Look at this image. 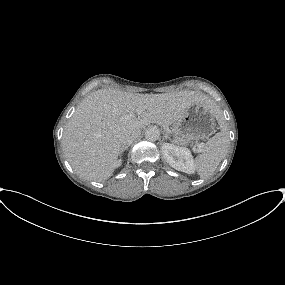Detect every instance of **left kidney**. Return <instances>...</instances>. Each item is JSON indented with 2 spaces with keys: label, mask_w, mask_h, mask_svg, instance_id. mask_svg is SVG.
Listing matches in <instances>:
<instances>
[{
  "label": "left kidney",
  "mask_w": 285,
  "mask_h": 285,
  "mask_svg": "<svg viewBox=\"0 0 285 285\" xmlns=\"http://www.w3.org/2000/svg\"><path fill=\"white\" fill-rule=\"evenodd\" d=\"M161 150L164 159L171 167L187 174L194 173V160L189 149L170 143H163Z\"/></svg>",
  "instance_id": "left-kidney-1"
}]
</instances>
